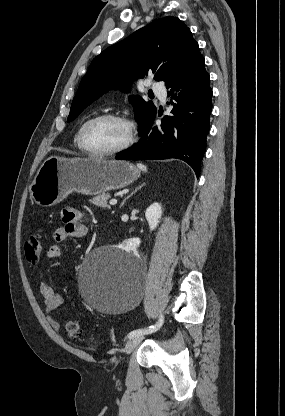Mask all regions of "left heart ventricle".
Wrapping results in <instances>:
<instances>
[{
	"mask_svg": "<svg viewBox=\"0 0 285 416\" xmlns=\"http://www.w3.org/2000/svg\"><path fill=\"white\" fill-rule=\"evenodd\" d=\"M126 138L123 125L112 119H99L86 130L88 146L97 151H107L119 147Z\"/></svg>",
	"mask_w": 285,
	"mask_h": 416,
	"instance_id": "left-heart-ventricle-1",
	"label": "left heart ventricle"
}]
</instances>
